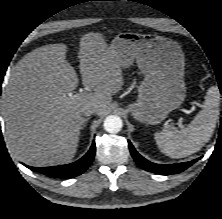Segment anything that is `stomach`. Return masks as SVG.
<instances>
[{"label": "stomach", "mask_w": 222, "mask_h": 219, "mask_svg": "<svg viewBox=\"0 0 222 219\" xmlns=\"http://www.w3.org/2000/svg\"><path fill=\"white\" fill-rule=\"evenodd\" d=\"M108 49L122 68L136 61L145 76L137 100L127 106L136 120L158 124L183 103L185 60L177 42L164 36L122 32Z\"/></svg>", "instance_id": "0dacf381"}]
</instances>
